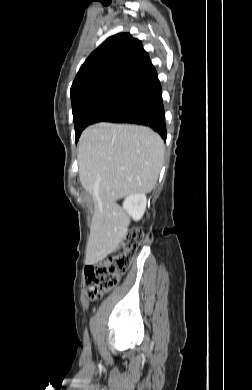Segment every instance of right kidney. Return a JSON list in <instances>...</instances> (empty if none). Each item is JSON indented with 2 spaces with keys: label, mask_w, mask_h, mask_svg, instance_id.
Segmentation results:
<instances>
[{
  "label": "right kidney",
  "mask_w": 252,
  "mask_h": 390,
  "mask_svg": "<svg viewBox=\"0 0 252 390\" xmlns=\"http://www.w3.org/2000/svg\"><path fill=\"white\" fill-rule=\"evenodd\" d=\"M147 198L146 195L133 194L125 198L123 208L136 221L140 220L146 210Z\"/></svg>",
  "instance_id": "obj_1"
}]
</instances>
